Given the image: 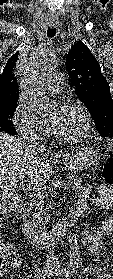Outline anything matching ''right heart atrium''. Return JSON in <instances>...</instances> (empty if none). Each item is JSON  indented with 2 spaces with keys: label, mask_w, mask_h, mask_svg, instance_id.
I'll use <instances>...</instances> for the list:
<instances>
[{
  "label": "right heart atrium",
  "mask_w": 113,
  "mask_h": 279,
  "mask_svg": "<svg viewBox=\"0 0 113 279\" xmlns=\"http://www.w3.org/2000/svg\"><path fill=\"white\" fill-rule=\"evenodd\" d=\"M12 123L17 132L28 141H37L47 133L45 123L20 97L12 114Z\"/></svg>",
  "instance_id": "obj_1"
}]
</instances>
